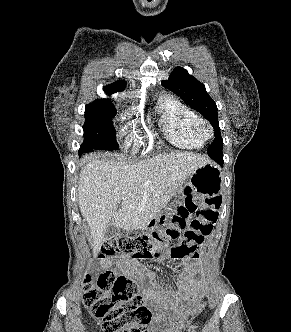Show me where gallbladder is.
Listing matches in <instances>:
<instances>
[{"label": "gallbladder", "instance_id": "bac80fb5", "mask_svg": "<svg viewBox=\"0 0 291 332\" xmlns=\"http://www.w3.org/2000/svg\"><path fill=\"white\" fill-rule=\"evenodd\" d=\"M119 234V229L114 224L109 223L104 232L105 240H110Z\"/></svg>", "mask_w": 291, "mask_h": 332}]
</instances>
